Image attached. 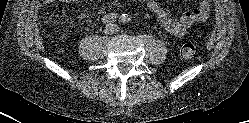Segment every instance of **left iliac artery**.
Here are the masks:
<instances>
[{
  "mask_svg": "<svg viewBox=\"0 0 249 123\" xmlns=\"http://www.w3.org/2000/svg\"><path fill=\"white\" fill-rule=\"evenodd\" d=\"M131 20V17H130V15H128V14H122L121 15V17H120V21L122 22V23H128L129 21Z\"/></svg>",
  "mask_w": 249,
  "mask_h": 123,
  "instance_id": "obj_1",
  "label": "left iliac artery"
}]
</instances>
